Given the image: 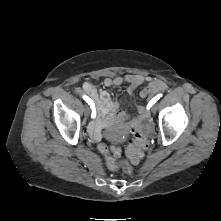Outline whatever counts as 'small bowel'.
Wrapping results in <instances>:
<instances>
[{
  "label": "small bowel",
  "instance_id": "small-bowel-1",
  "mask_svg": "<svg viewBox=\"0 0 221 221\" xmlns=\"http://www.w3.org/2000/svg\"><path fill=\"white\" fill-rule=\"evenodd\" d=\"M123 83L129 85L128 92L133 94L137 87L146 84V87L140 92L142 98H149L156 93L166 89V83L161 79H155L150 76L140 74H128L125 76H115L105 78L103 85L106 88L118 87ZM79 93H84L94 103L97 120L89 127L91 136L95 140H99L102 136V129L107 127L115 117L121 120L126 118V112L120 107V104L114 101L106 90H98L91 82L83 83L82 87L77 90ZM140 118L145 116L144 108L138 109Z\"/></svg>",
  "mask_w": 221,
  "mask_h": 221
}]
</instances>
